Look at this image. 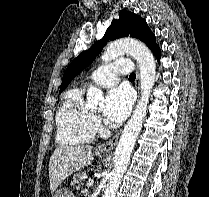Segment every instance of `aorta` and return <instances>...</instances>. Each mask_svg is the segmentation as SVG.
Instances as JSON below:
<instances>
[{"label": "aorta", "instance_id": "obj_1", "mask_svg": "<svg viewBox=\"0 0 209 197\" xmlns=\"http://www.w3.org/2000/svg\"><path fill=\"white\" fill-rule=\"evenodd\" d=\"M125 53L133 56L139 65L141 98L136 105L131 119L122 131L114 153V169L110 174L107 188L102 197H115L146 117L149 97L156 77V64L153 54L145 44L134 39L114 41L106 48L101 59L108 62ZM102 99L103 93L101 89L91 85L87 91L86 107L95 108Z\"/></svg>", "mask_w": 209, "mask_h": 197}]
</instances>
